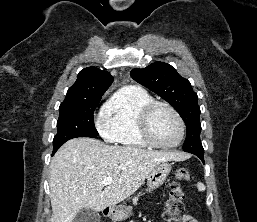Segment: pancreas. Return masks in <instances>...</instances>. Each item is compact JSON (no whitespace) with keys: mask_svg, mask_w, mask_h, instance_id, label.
<instances>
[{"mask_svg":"<svg viewBox=\"0 0 257 222\" xmlns=\"http://www.w3.org/2000/svg\"><path fill=\"white\" fill-rule=\"evenodd\" d=\"M137 201H138V196L134 197L133 203H134V204H137ZM128 209H130V207H128Z\"/></svg>","mask_w":257,"mask_h":222,"instance_id":"pancreas-1","label":"pancreas"}]
</instances>
